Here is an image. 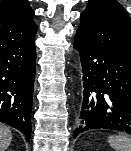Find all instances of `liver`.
<instances>
[{
	"label": "liver",
	"mask_w": 131,
	"mask_h": 151,
	"mask_svg": "<svg viewBox=\"0 0 131 151\" xmlns=\"http://www.w3.org/2000/svg\"><path fill=\"white\" fill-rule=\"evenodd\" d=\"M12 140V134L8 127L0 124V151H5Z\"/></svg>",
	"instance_id": "6515ba94"
}]
</instances>
